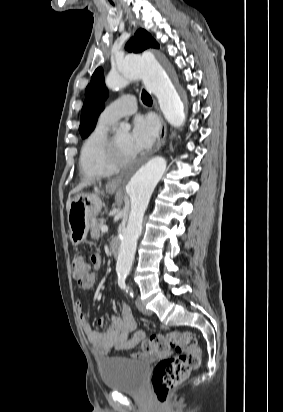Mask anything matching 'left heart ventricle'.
Returning <instances> with one entry per match:
<instances>
[{
  "label": "left heart ventricle",
  "mask_w": 283,
  "mask_h": 412,
  "mask_svg": "<svg viewBox=\"0 0 283 412\" xmlns=\"http://www.w3.org/2000/svg\"><path fill=\"white\" fill-rule=\"evenodd\" d=\"M120 153L122 157L128 158L135 155L130 147V134L128 132H121L115 135Z\"/></svg>",
  "instance_id": "b2bd125f"
}]
</instances>
